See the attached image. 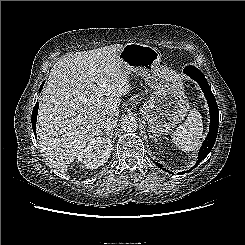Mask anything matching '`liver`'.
<instances>
[{
	"label": "liver",
	"mask_w": 245,
	"mask_h": 245,
	"mask_svg": "<svg viewBox=\"0 0 245 245\" xmlns=\"http://www.w3.org/2000/svg\"><path fill=\"white\" fill-rule=\"evenodd\" d=\"M123 47L70 54L51 69L40 97L37 133L42 156L61 174L90 140L102 135L103 118L119 115L120 97L130 91L119 58Z\"/></svg>",
	"instance_id": "1"
}]
</instances>
